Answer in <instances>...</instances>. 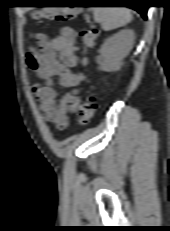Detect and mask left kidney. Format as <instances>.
<instances>
[{"label": "left kidney", "instance_id": "5707ae66", "mask_svg": "<svg viewBox=\"0 0 170 231\" xmlns=\"http://www.w3.org/2000/svg\"><path fill=\"white\" fill-rule=\"evenodd\" d=\"M135 34L131 29H124L105 40L96 61L100 69L106 72L118 71L123 59L129 54L134 44Z\"/></svg>", "mask_w": 170, "mask_h": 231}]
</instances>
